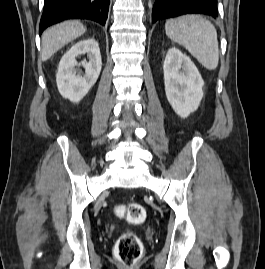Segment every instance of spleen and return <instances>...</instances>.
I'll use <instances>...</instances> for the list:
<instances>
[{
	"label": "spleen",
	"mask_w": 265,
	"mask_h": 269,
	"mask_svg": "<svg viewBox=\"0 0 265 269\" xmlns=\"http://www.w3.org/2000/svg\"><path fill=\"white\" fill-rule=\"evenodd\" d=\"M166 35L182 45L208 70H215L219 62L217 31L201 15L189 14L170 19L165 24Z\"/></svg>",
	"instance_id": "1"
}]
</instances>
